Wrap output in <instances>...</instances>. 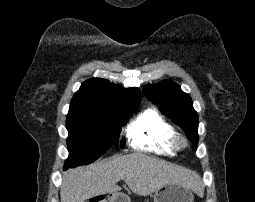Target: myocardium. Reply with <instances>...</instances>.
<instances>
[{
    "label": "myocardium",
    "mask_w": 255,
    "mask_h": 202,
    "mask_svg": "<svg viewBox=\"0 0 255 202\" xmlns=\"http://www.w3.org/2000/svg\"><path fill=\"white\" fill-rule=\"evenodd\" d=\"M172 142L177 149L185 148L188 144L186 137L180 133L174 134Z\"/></svg>",
    "instance_id": "obj_1"
}]
</instances>
